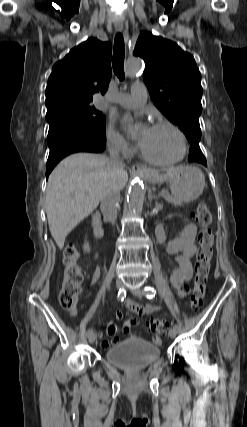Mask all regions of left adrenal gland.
Returning a JSON list of instances; mask_svg holds the SVG:
<instances>
[{
  "instance_id": "1",
  "label": "left adrenal gland",
  "mask_w": 247,
  "mask_h": 427,
  "mask_svg": "<svg viewBox=\"0 0 247 427\" xmlns=\"http://www.w3.org/2000/svg\"><path fill=\"white\" fill-rule=\"evenodd\" d=\"M148 200L151 202L152 200H155V203L158 202V196H155L152 194L151 189L148 191Z\"/></svg>"
}]
</instances>
